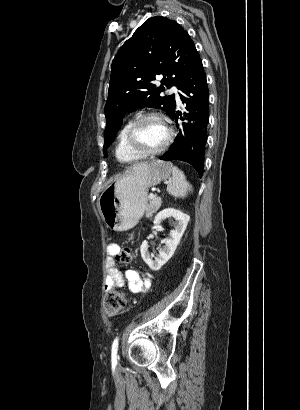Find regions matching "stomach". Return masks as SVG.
Returning <instances> with one entry per match:
<instances>
[{
    "mask_svg": "<svg viewBox=\"0 0 300 410\" xmlns=\"http://www.w3.org/2000/svg\"><path fill=\"white\" fill-rule=\"evenodd\" d=\"M169 162L153 161L132 168L99 197V209L108 228L127 231L133 228L147 205L148 188L170 177Z\"/></svg>",
    "mask_w": 300,
    "mask_h": 410,
    "instance_id": "stomach-1",
    "label": "stomach"
}]
</instances>
